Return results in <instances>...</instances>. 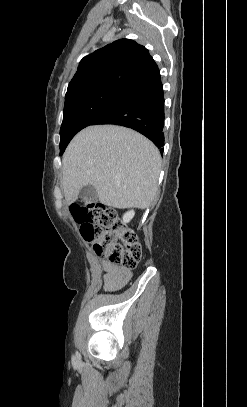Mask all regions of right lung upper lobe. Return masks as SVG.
Here are the masks:
<instances>
[{"label": "right lung upper lobe", "mask_w": 247, "mask_h": 407, "mask_svg": "<svg viewBox=\"0 0 247 407\" xmlns=\"http://www.w3.org/2000/svg\"><path fill=\"white\" fill-rule=\"evenodd\" d=\"M149 51L135 41L120 39L83 58L69 83L65 105L93 92L123 86L139 89L159 76Z\"/></svg>", "instance_id": "right-lung-upper-lobe-1"}]
</instances>
